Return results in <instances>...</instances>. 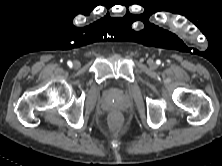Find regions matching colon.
Wrapping results in <instances>:
<instances>
[{
  "label": "colon",
  "instance_id": "colon-1",
  "mask_svg": "<svg viewBox=\"0 0 222 166\" xmlns=\"http://www.w3.org/2000/svg\"><path fill=\"white\" fill-rule=\"evenodd\" d=\"M122 122L121 116L118 113H113L109 117V123L112 127H118Z\"/></svg>",
  "mask_w": 222,
  "mask_h": 166
}]
</instances>
